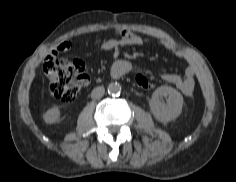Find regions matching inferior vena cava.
<instances>
[{"label":"inferior vena cava","instance_id":"1","mask_svg":"<svg viewBox=\"0 0 236 182\" xmlns=\"http://www.w3.org/2000/svg\"><path fill=\"white\" fill-rule=\"evenodd\" d=\"M105 93V88L103 86L96 87L91 92V97L93 99H100Z\"/></svg>","mask_w":236,"mask_h":182}]
</instances>
